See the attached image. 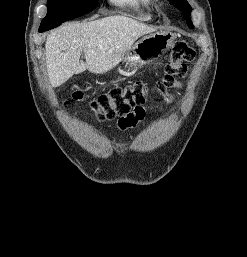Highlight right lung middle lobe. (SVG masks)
<instances>
[{
	"mask_svg": "<svg viewBox=\"0 0 247 257\" xmlns=\"http://www.w3.org/2000/svg\"><path fill=\"white\" fill-rule=\"evenodd\" d=\"M98 0H48L47 15L41 25L57 27L59 24L91 12Z\"/></svg>",
	"mask_w": 247,
	"mask_h": 257,
	"instance_id": "dd1d6c3e",
	"label": "right lung middle lobe"
}]
</instances>
